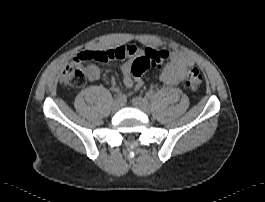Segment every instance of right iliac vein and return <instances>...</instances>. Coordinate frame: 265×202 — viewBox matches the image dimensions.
<instances>
[{
	"label": "right iliac vein",
	"mask_w": 265,
	"mask_h": 202,
	"mask_svg": "<svg viewBox=\"0 0 265 202\" xmlns=\"http://www.w3.org/2000/svg\"><path fill=\"white\" fill-rule=\"evenodd\" d=\"M120 107H121V101L115 99V100L113 101V103H112V110H113L114 112H116V111L119 110Z\"/></svg>",
	"instance_id": "right-iliac-vein-1"
}]
</instances>
